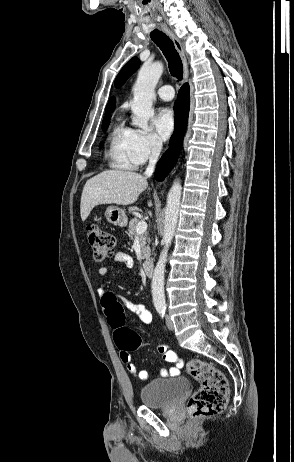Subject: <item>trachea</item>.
<instances>
[{"label": "trachea", "instance_id": "1", "mask_svg": "<svg viewBox=\"0 0 294 462\" xmlns=\"http://www.w3.org/2000/svg\"><path fill=\"white\" fill-rule=\"evenodd\" d=\"M150 37L166 57L171 75L181 80L183 77V65L173 41L165 33L157 29L150 33Z\"/></svg>", "mask_w": 294, "mask_h": 462}]
</instances>
